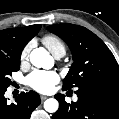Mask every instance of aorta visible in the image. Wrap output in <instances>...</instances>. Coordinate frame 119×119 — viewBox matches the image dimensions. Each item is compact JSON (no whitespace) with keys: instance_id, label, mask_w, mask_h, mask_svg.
I'll return each instance as SVG.
<instances>
[{"instance_id":"762f6f07","label":"aorta","mask_w":119,"mask_h":119,"mask_svg":"<svg viewBox=\"0 0 119 119\" xmlns=\"http://www.w3.org/2000/svg\"><path fill=\"white\" fill-rule=\"evenodd\" d=\"M31 63L38 68L49 69L53 66V58L44 48H36L30 53ZM59 103L54 98H49L44 102V109L49 113L58 110Z\"/></svg>"}]
</instances>
